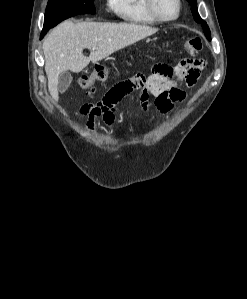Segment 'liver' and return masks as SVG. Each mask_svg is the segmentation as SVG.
Returning a JSON list of instances; mask_svg holds the SVG:
<instances>
[{
  "label": "liver",
  "instance_id": "1",
  "mask_svg": "<svg viewBox=\"0 0 247 299\" xmlns=\"http://www.w3.org/2000/svg\"><path fill=\"white\" fill-rule=\"evenodd\" d=\"M157 28L133 23L64 21L43 42L48 89L58 101V77L62 72H81L90 62L100 61L114 52L155 34ZM90 50L89 57L83 49Z\"/></svg>",
  "mask_w": 247,
  "mask_h": 299
}]
</instances>
